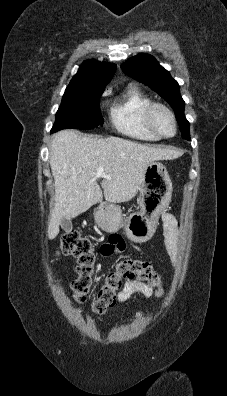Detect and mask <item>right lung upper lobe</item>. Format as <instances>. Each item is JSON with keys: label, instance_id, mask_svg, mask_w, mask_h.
Instances as JSON below:
<instances>
[{"label": "right lung upper lobe", "instance_id": "right-lung-upper-lobe-1", "mask_svg": "<svg viewBox=\"0 0 227 396\" xmlns=\"http://www.w3.org/2000/svg\"><path fill=\"white\" fill-rule=\"evenodd\" d=\"M115 70L114 64L87 60L81 65L69 85L96 86L104 89Z\"/></svg>", "mask_w": 227, "mask_h": 396}]
</instances>
